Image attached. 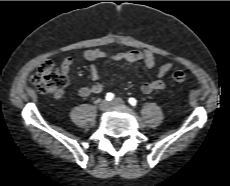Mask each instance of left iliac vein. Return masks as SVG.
Here are the masks:
<instances>
[{"label":"left iliac vein","instance_id":"4c4485c4","mask_svg":"<svg viewBox=\"0 0 230 186\" xmlns=\"http://www.w3.org/2000/svg\"><path fill=\"white\" fill-rule=\"evenodd\" d=\"M112 106H124V101L121 98H116L111 102Z\"/></svg>","mask_w":230,"mask_h":186}]
</instances>
